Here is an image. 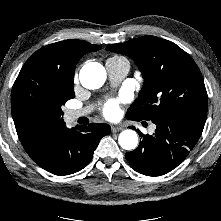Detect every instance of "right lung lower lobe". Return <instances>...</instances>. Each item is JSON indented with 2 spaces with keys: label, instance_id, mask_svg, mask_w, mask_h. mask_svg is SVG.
I'll return each instance as SVG.
<instances>
[{
  "label": "right lung lower lobe",
  "instance_id": "98d812e1",
  "mask_svg": "<svg viewBox=\"0 0 221 221\" xmlns=\"http://www.w3.org/2000/svg\"><path fill=\"white\" fill-rule=\"evenodd\" d=\"M110 132V126L104 123L68 129L64 122L59 126L34 128L19 139L40 167L64 176L83 169L91 161L100 139Z\"/></svg>",
  "mask_w": 221,
  "mask_h": 221
}]
</instances>
